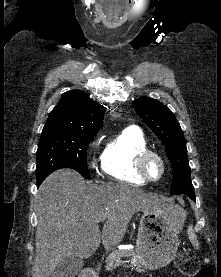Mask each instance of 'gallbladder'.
Wrapping results in <instances>:
<instances>
[{
  "label": "gallbladder",
  "instance_id": "gallbladder-1",
  "mask_svg": "<svg viewBox=\"0 0 221 277\" xmlns=\"http://www.w3.org/2000/svg\"><path fill=\"white\" fill-rule=\"evenodd\" d=\"M83 267V260L78 257H69L60 262L51 277H75Z\"/></svg>",
  "mask_w": 221,
  "mask_h": 277
}]
</instances>
